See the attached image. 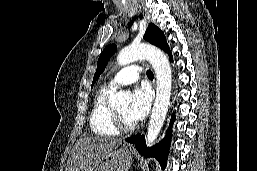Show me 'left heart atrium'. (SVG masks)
Returning <instances> with one entry per match:
<instances>
[{
    "label": "left heart atrium",
    "instance_id": "39dd6f15",
    "mask_svg": "<svg viewBox=\"0 0 257 171\" xmlns=\"http://www.w3.org/2000/svg\"><path fill=\"white\" fill-rule=\"evenodd\" d=\"M151 100L152 97L148 88L141 86L134 89L128 108V116L134 123L143 120L147 116Z\"/></svg>",
    "mask_w": 257,
    "mask_h": 171
}]
</instances>
